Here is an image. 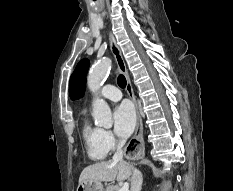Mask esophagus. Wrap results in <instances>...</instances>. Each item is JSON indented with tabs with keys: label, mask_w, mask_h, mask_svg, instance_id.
Segmentation results:
<instances>
[{
	"label": "esophagus",
	"mask_w": 233,
	"mask_h": 191,
	"mask_svg": "<svg viewBox=\"0 0 233 191\" xmlns=\"http://www.w3.org/2000/svg\"><path fill=\"white\" fill-rule=\"evenodd\" d=\"M109 43H110V49L111 52L115 58V62L117 65L118 70L125 76L126 78V91L133 102L135 109H136V116H137V123L134 135L129 140L126 149V156L128 158H133L134 156H144V137H143V122L142 117L140 114L139 106L136 100V96L134 94V90L132 87V83L130 80V76L126 67V63L123 59V56L121 54V51L115 41L114 36L112 33H109Z\"/></svg>",
	"instance_id": "1"
}]
</instances>
